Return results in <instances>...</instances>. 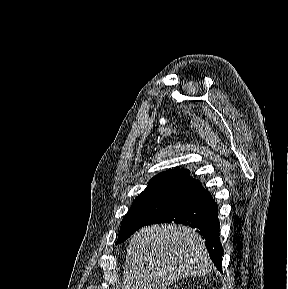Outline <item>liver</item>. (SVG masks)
Instances as JSON below:
<instances>
[{
    "label": "liver",
    "instance_id": "1",
    "mask_svg": "<svg viewBox=\"0 0 288 289\" xmlns=\"http://www.w3.org/2000/svg\"><path fill=\"white\" fill-rule=\"evenodd\" d=\"M212 263L202 237L190 227L157 224L129 243L122 289H167L188 276H204Z\"/></svg>",
    "mask_w": 288,
    "mask_h": 289
}]
</instances>
